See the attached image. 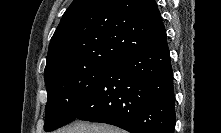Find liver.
<instances>
[{"mask_svg":"<svg viewBox=\"0 0 221 133\" xmlns=\"http://www.w3.org/2000/svg\"><path fill=\"white\" fill-rule=\"evenodd\" d=\"M57 133H125L124 130L103 123L77 121Z\"/></svg>","mask_w":221,"mask_h":133,"instance_id":"6515ba94","label":"liver"}]
</instances>
